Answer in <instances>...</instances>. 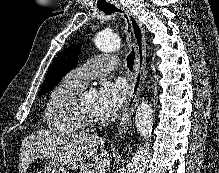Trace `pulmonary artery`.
<instances>
[{
  "mask_svg": "<svg viewBox=\"0 0 219 173\" xmlns=\"http://www.w3.org/2000/svg\"><path fill=\"white\" fill-rule=\"evenodd\" d=\"M118 62L116 57L95 55L70 71L66 77L74 84L83 87L90 79L103 76L113 70Z\"/></svg>",
  "mask_w": 219,
  "mask_h": 173,
  "instance_id": "pulmonary-artery-1",
  "label": "pulmonary artery"
}]
</instances>
